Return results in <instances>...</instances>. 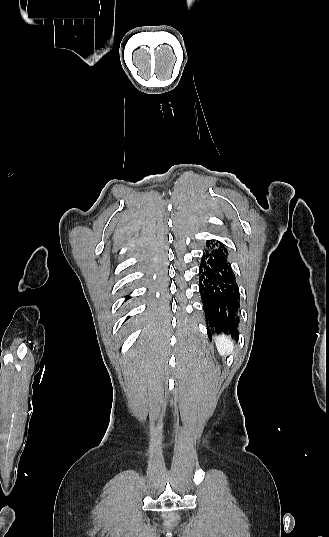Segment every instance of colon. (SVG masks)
Here are the masks:
<instances>
[{
	"instance_id": "5ec220e1",
	"label": "colon",
	"mask_w": 329,
	"mask_h": 537,
	"mask_svg": "<svg viewBox=\"0 0 329 537\" xmlns=\"http://www.w3.org/2000/svg\"><path fill=\"white\" fill-rule=\"evenodd\" d=\"M161 516L163 519L168 520L167 524L169 526H173L175 524V520L179 518L180 513L176 509H165L162 511Z\"/></svg>"
}]
</instances>
